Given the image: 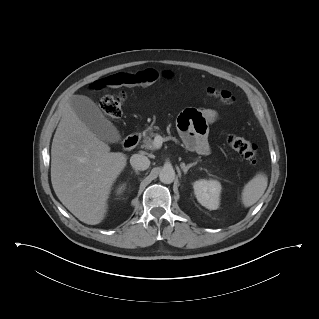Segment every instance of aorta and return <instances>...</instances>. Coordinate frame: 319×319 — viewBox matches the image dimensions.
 I'll list each match as a JSON object with an SVG mask.
<instances>
[{"instance_id": "1", "label": "aorta", "mask_w": 319, "mask_h": 319, "mask_svg": "<svg viewBox=\"0 0 319 319\" xmlns=\"http://www.w3.org/2000/svg\"><path fill=\"white\" fill-rule=\"evenodd\" d=\"M159 179L164 184H170L175 179V171L172 167H163L159 173Z\"/></svg>"}]
</instances>
